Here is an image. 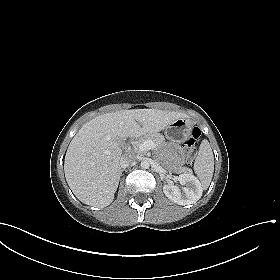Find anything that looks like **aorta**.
Segmentation results:
<instances>
[{
  "label": "aorta",
  "instance_id": "obj_1",
  "mask_svg": "<svg viewBox=\"0 0 280 280\" xmlns=\"http://www.w3.org/2000/svg\"><path fill=\"white\" fill-rule=\"evenodd\" d=\"M149 166H150V164H149V162H148L147 160H143V161L141 162V168H142V169H148Z\"/></svg>",
  "mask_w": 280,
  "mask_h": 280
}]
</instances>
